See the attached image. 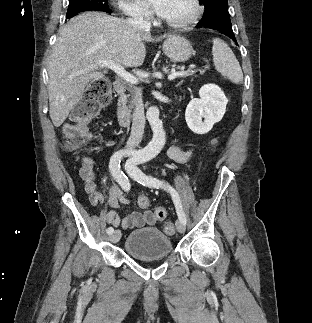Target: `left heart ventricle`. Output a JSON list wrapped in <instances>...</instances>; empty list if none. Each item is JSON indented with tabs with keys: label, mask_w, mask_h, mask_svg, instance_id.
Here are the masks:
<instances>
[{
	"label": "left heart ventricle",
	"mask_w": 312,
	"mask_h": 323,
	"mask_svg": "<svg viewBox=\"0 0 312 323\" xmlns=\"http://www.w3.org/2000/svg\"><path fill=\"white\" fill-rule=\"evenodd\" d=\"M168 18H183V14H194V2L191 0H168L166 4Z\"/></svg>",
	"instance_id": "b2bd125f"
}]
</instances>
